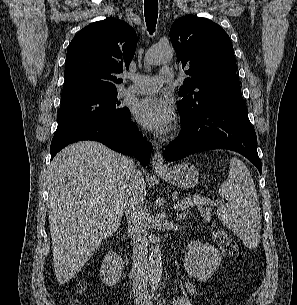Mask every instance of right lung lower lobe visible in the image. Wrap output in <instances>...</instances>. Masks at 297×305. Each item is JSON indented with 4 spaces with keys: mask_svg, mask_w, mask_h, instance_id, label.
<instances>
[{
    "mask_svg": "<svg viewBox=\"0 0 297 305\" xmlns=\"http://www.w3.org/2000/svg\"><path fill=\"white\" fill-rule=\"evenodd\" d=\"M80 140L101 142L117 152L135 156L144 166L150 161L152 145L136 129L130 114L124 120H102L84 124L52 140L51 159L68 144Z\"/></svg>",
    "mask_w": 297,
    "mask_h": 305,
    "instance_id": "right-lung-lower-lobe-1",
    "label": "right lung lower lobe"
}]
</instances>
